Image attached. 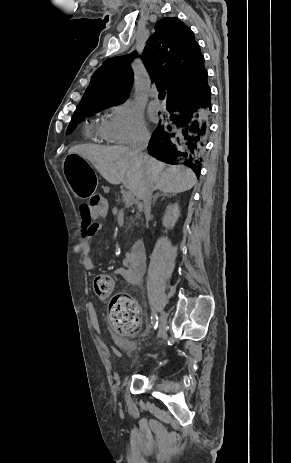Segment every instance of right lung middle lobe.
Masks as SVG:
<instances>
[{
    "instance_id": "right-lung-middle-lobe-1",
    "label": "right lung middle lobe",
    "mask_w": 291,
    "mask_h": 463,
    "mask_svg": "<svg viewBox=\"0 0 291 463\" xmlns=\"http://www.w3.org/2000/svg\"><path fill=\"white\" fill-rule=\"evenodd\" d=\"M117 103H110V104H103V105H98V106H91V107H80L77 108L72 116V120L69 124V127L67 129V134L71 133L74 129V127L80 123L86 116L96 113L100 110L106 109L112 105H115Z\"/></svg>"
}]
</instances>
